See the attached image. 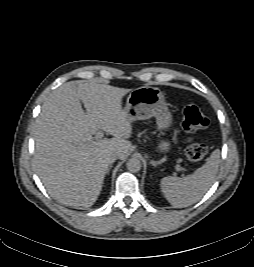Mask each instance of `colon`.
I'll return each instance as SVG.
<instances>
[{
	"label": "colon",
	"mask_w": 254,
	"mask_h": 267,
	"mask_svg": "<svg viewBox=\"0 0 254 267\" xmlns=\"http://www.w3.org/2000/svg\"><path fill=\"white\" fill-rule=\"evenodd\" d=\"M209 126L208 117L195 105H188L183 110L182 127L187 133H195ZM186 157L192 163H200L208 153L207 146L199 140L191 141L186 147Z\"/></svg>",
	"instance_id": "colon-1"
}]
</instances>
